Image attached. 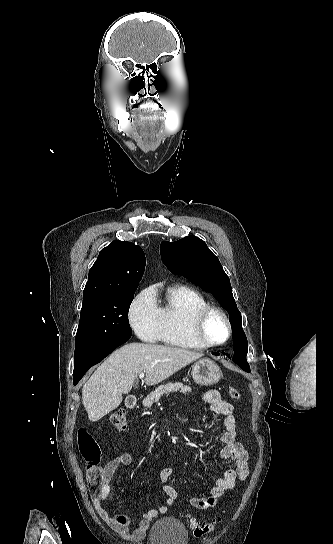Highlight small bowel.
Here are the masks:
<instances>
[{"label":"small bowel","mask_w":333,"mask_h":544,"mask_svg":"<svg viewBox=\"0 0 333 544\" xmlns=\"http://www.w3.org/2000/svg\"><path fill=\"white\" fill-rule=\"evenodd\" d=\"M202 400L211 412L224 417V431L218 435V440L222 444L220 456L223 460L234 463L235 467L226 470L223 477L215 481L206 496L190 499L191 506L199 510L214 507L227 490L233 488L236 482L244 481L249 475L248 452L241 443L236 441L237 429L232 404L222 400L219 392L214 389L207 390L203 394ZM132 461L133 458L129 453H122L107 462L104 466L105 484L100 490L92 491L91 499L99 517L116 534L126 540L138 542L144 539L153 519L171 511L179 498V493L175 487L167 483L173 475V469L165 467L160 472V478L165 483L163 491L166 499L163 505L145 512L135 527L128 515L121 513L111 515L104 507L105 500L110 493V481L119 468L130 466Z\"/></svg>","instance_id":"small-bowel-1"}]
</instances>
